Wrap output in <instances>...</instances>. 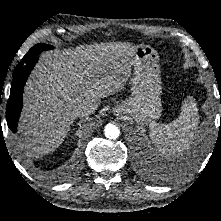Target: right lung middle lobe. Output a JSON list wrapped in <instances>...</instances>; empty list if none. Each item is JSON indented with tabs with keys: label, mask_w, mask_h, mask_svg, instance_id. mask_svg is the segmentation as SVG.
Wrapping results in <instances>:
<instances>
[{
	"label": "right lung middle lobe",
	"mask_w": 221,
	"mask_h": 221,
	"mask_svg": "<svg viewBox=\"0 0 221 221\" xmlns=\"http://www.w3.org/2000/svg\"><path fill=\"white\" fill-rule=\"evenodd\" d=\"M53 46L47 45V44H37L34 47H32L29 52L24 56V59H28L34 55H38L43 50L52 49Z\"/></svg>",
	"instance_id": "right-lung-middle-lobe-1"
}]
</instances>
